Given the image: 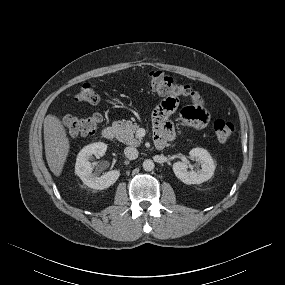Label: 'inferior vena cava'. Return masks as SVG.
Masks as SVG:
<instances>
[{
  "instance_id": "602c4592",
  "label": "inferior vena cava",
  "mask_w": 285,
  "mask_h": 285,
  "mask_svg": "<svg viewBox=\"0 0 285 285\" xmlns=\"http://www.w3.org/2000/svg\"><path fill=\"white\" fill-rule=\"evenodd\" d=\"M124 154H125V156H126L128 159L134 160V159H136V158L138 157L139 152H138V150H137L136 148H134V147H126V148L124 149Z\"/></svg>"
}]
</instances>
